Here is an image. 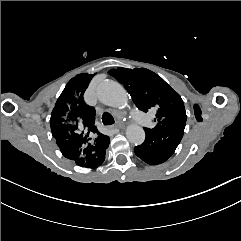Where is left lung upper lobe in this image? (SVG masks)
I'll use <instances>...</instances> for the list:
<instances>
[{
	"label": "left lung upper lobe",
	"instance_id": "left-lung-upper-lobe-1",
	"mask_svg": "<svg viewBox=\"0 0 241 241\" xmlns=\"http://www.w3.org/2000/svg\"><path fill=\"white\" fill-rule=\"evenodd\" d=\"M122 83L131 95L136 106L147 112L157 108V125L145 132L183 128L186 124V111L180 95L160 76L145 68H117L108 72ZM156 121V119H154Z\"/></svg>",
	"mask_w": 241,
	"mask_h": 241
}]
</instances>
